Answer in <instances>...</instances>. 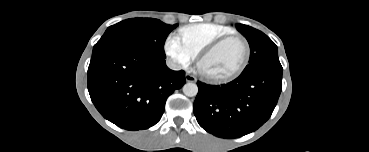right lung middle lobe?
<instances>
[{"label": "right lung middle lobe", "instance_id": "1", "mask_svg": "<svg viewBox=\"0 0 369 152\" xmlns=\"http://www.w3.org/2000/svg\"><path fill=\"white\" fill-rule=\"evenodd\" d=\"M178 26L152 18H133L108 27L94 45L93 54L116 46H131L165 59L164 43L169 33Z\"/></svg>", "mask_w": 369, "mask_h": 152}]
</instances>
